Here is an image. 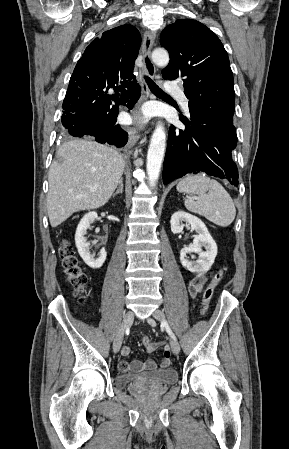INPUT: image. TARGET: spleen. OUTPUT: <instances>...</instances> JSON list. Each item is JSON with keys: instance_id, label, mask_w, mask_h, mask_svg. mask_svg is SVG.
<instances>
[{"instance_id": "1", "label": "spleen", "mask_w": 289, "mask_h": 449, "mask_svg": "<svg viewBox=\"0 0 289 449\" xmlns=\"http://www.w3.org/2000/svg\"><path fill=\"white\" fill-rule=\"evenodd\" d=\"M179 192L197 194L199 198H186L185 207L190 212L204 216L221 227L229 226L235 219L233 200L224 187L205 174L188 175L177 185Z\"/></svg>"}]
</instances>
